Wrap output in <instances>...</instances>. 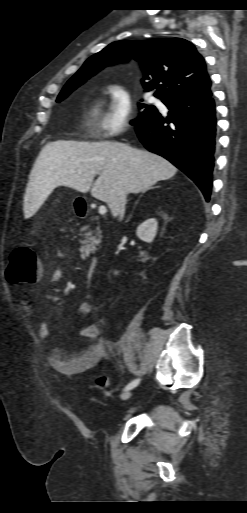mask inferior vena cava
Masks as SVG:
<instances>
[{"label": "inferior vena cava", "instance_id": "obj_1", "mask_svg": "<svg viewBox=\"0 0 247 513\" xmlns=\"http://www.w3.org/2000/svg\"><path fill=\"white\" fill-rule=\"evenodd\" d=\"M127 201V191H122L116 201V211L120 219L123 218L125 212V204Z\"/></svg>", "mask_w": 247, "mask_h": 513}]
</instances>
